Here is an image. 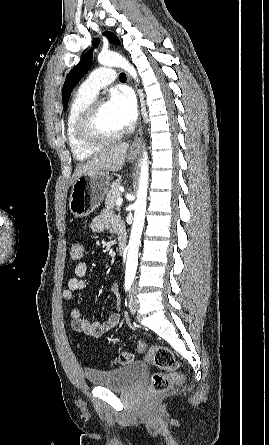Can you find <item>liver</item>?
<instances>
[{"label":"liver","instance_id":"obj_1","mask_svg":"<svg viewBox=\"0 0 269 445\" xmlns=\"http://www.w3.org/2000/svg\"><path fill=\"white\" fill-rule=\"evenodd\" d=\"M128 148V143L110 146L93 156L87 162L79 164L73 174V183L85 174H92L98 171L116 172L121 170L125 163Z\"/></svg>","mask_w":269,"mask_h":445}]
</instances>
